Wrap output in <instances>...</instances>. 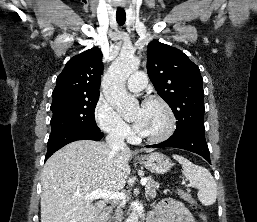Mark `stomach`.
Masks as SVG:
<instances>
[{
	"mask_svg": "<svg viewBox=\"0 0 257 222\" xmlns=\"http://www.w3.org/2000/svg\"><path fill=\"white\" fill-rule=\"evenodd\" d=\"M140 163L149 171L156 174L167 173L172 167L171 160L162 153H152L148 156L141 157Z\"/></svg>",
	"mask_w": 257,
	"mask_h": 222,
	"instance_id": "1",
	"label": "stomach"
}]
</instances>
